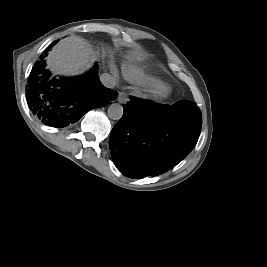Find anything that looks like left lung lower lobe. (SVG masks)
<instances>
[{
    "instance_id": "left-lung-lower-lobe-1",
    "label": "left lung lower lobe",
    "mask_w": 267,
    "mask_h": 267,
    "mask_svg": "<svg viewBox=\"0 0 267 267\" xmlns=\"http://www.w3.org/2000/svg\"><path fill=\"white\" fill-rule=\"evenodd\" d=\"M201 126L194 102L165 105L130 97L110 135L112 160L130 178L163 174L194 148Z\"/></svg>"
}]
</instances>
